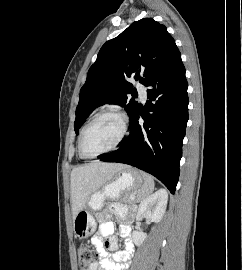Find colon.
I'll use <instances>...</instances> for the list:
<instances>
[{"label":"colon","mask_w":242,"mask_h":270,"mask_svg":"<svg viewBox=\"0 0 242 270\" xmlns=\"http://www.w3.org/2000/svg\"><path fill=\"white\" fill-rule=\"evenodd\" d=\"M78 263L81 270H86L93 264L98 256L97 252L87 244H81L77 247Z\"/></svg>","instance_id":"5ec220e1"}]
</instances>
